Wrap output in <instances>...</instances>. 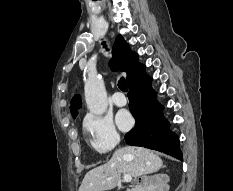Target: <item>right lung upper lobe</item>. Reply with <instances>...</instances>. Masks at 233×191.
Returning <instances> with one entry per match:
<instances>
[{
    "mask_svg": "<svg viewBox=\"0 0 233 191\" xmlns=\"http://www.w3.org/2000/svg\"><path fill=\"white\" fill-rule=\"evenodd\" d=\"M113 55L114 60L111 62L113 69H120L126 72L128 80L140 63L138 62V55L131 51L129 45L121 35H118L116 38L113 46ZM80 105V97L75 96L70 106L72 115L77 114V108H79Z\"/></svg>",
    "mask_w": 233,
    "mask_h": 191,
    "instance_id": "cb5924a9",
    "label": "right lung upper lobe"
}]
</instances>
